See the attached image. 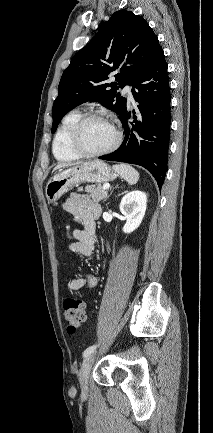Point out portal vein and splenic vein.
Segmentation results:
<instances>
[{"label":"portal vein and splenic vein","instance_id":"1","mask_svg":"<svg viewBox=\"0 0 213 433\" xmlns=\"http://www.w3.org/2000/svg\"><path fill=\"white\" fill-rule=\"evenodd\" d=\"M109 187H110L109 184H104V185H103V189H105V190L109 189Z\"/></svg>","mask_w":213,"mask_h":433}]
</instances>
